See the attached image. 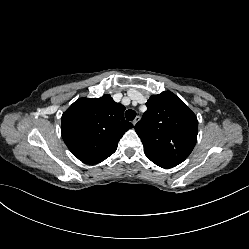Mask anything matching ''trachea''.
I'll return each instance as SVG.
<instances>
[{
	"label": "trachea",
	"mask_w": 249,
	"mask_h": 249,
	"mask_svg": "<svg viewBox=\"0 0 249 249\" xmlns=\"http://www.w3.org/2000/svg\"><path fill=\"white\" fill-rule=\"evenodd\" d=\"M125 117L128 121H132L136 117V112L134 110H127L125 113Z\"/></svg>",
	"instance_id": "trachea-1"
}]
</instances>
